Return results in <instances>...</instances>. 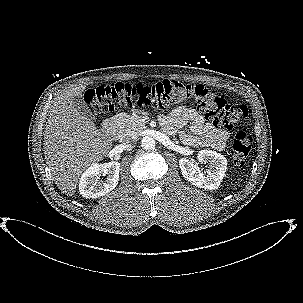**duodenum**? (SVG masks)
I'll use <instances>...</instances> for the list:
<instances>
[{
    "instance_id": "duodenum-1",
    "label": "duodenum",
    "mask_w": 303,
    "mask_h": 303,
    "mask_svg": "<svg viewBox=\"0 0 303 303\" xmlns=\"http://www.w3.org/2000/svg\"><path fill=\"white\" fill-rule=\"evenodd\" d=\"M105 127H106V129H107L108 131H111V130L115 127V125H114L113 121L110 120V121L106 124Z\"/></svg>"
}]
</instances>
